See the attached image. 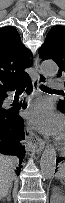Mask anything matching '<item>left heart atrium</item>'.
<instances>
[{
    "mask_svg": "<svg viewBox=\"0 0 65 203\" xmlns=\"http://www.w3.org/2000/svg\"><path fill=\"white\" fill-rule=\"evenodd\" d=\"M29 126L44 134L61 137L64 130V120L52 111L49 104L39 102L32 105L25 113Z\"/></svg>",
    "mask_w": 65,
    "mask_h": 203,
    "instance_id": "1",
    "label": "left heart atrium"
}]
</instances>
